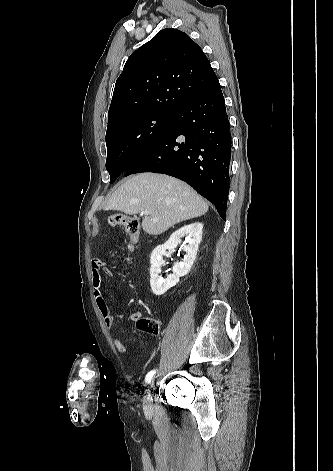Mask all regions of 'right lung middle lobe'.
<instances>
[{
  "label": "right lung middle lobe",
  "mask_w": 333,
  "mask_h": 471,
  "mask_svg": "<svg viewBox=\"0 0 333 471\" xmlns=\"http://www.w3.org/2000/svg\"><path fill=\"white\" fill-rule=\"evenodd\" d=\"M175 113L144 111L120 118L106 132V169L113 183L173 123Z\"/></svg>",
  "instance_id": "obj_1"
}]
</instances>
